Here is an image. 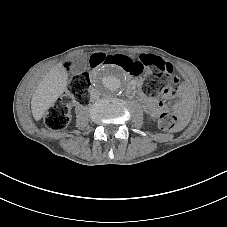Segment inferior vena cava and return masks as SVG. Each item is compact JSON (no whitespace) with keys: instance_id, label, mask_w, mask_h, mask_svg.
<instances>
[{"instance_id":"obj_1","label":"inferior vena cava","mask_w":227,"mask_h":227,"mask_svg":"<svg viewBox=\"0 0 227 227\" xmlns=\"http://www.w3.org/2000/svg\"><path fill=\"white\" fill-rule=\"evenodd\" d=\"M99 98V93L96 90L90 91V101L95 102Z\"/></svg>"}]
</instances>
